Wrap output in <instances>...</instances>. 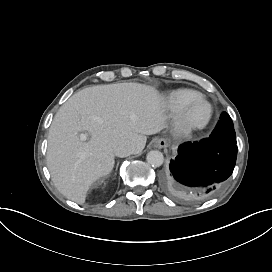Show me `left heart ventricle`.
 <instances>
[{
    "label": "left heart ventricle",
    "mask_w": 272,
    "mask_h": 272,
    "mask_svg": "<svg viewBox=\"0 0 272 272\" xmlns=\"http://www.w3.org/2000/svg\"><path fill=\"white\" fill-rule=\"evenodd\" d=\"M209 117V107L203 100L197 99L186 109V119L192 124H203Z\"/></svg>",
    "instance_id": "obj_1"
}]
</instances>
